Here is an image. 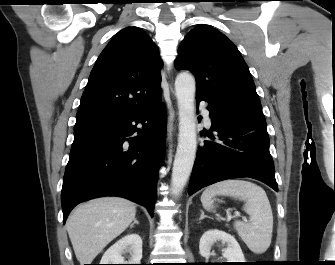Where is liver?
<instances>
[{
  "mask_svg": "<svg viewBox=\"0 0 335 265\" xmlns=\"http://www.w3.org/2000/svg\"><path fill=\"white\" fill-rule=\"evenodd\" d=\"M133 202L118 197H102L78 206L66 228L80 265L94 258L135 219Z\"/></svg>",
  "mask_w": 335,
  "mask_h": 265,
  "instance_id": "obj_1",
  "label": "liver"
}]
</instances>
